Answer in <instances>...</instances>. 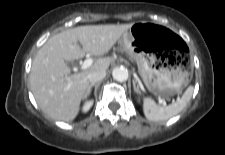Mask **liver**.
Segmentation results:
<instances>
[{
  "label": "liver",
  "mask_w": 225,
  "mask_h": 155,
  "mask_svg": "<svg viewBox=\"0 0 225 155\" xmlns=\"http://www.w3.org/2000/svg\"><path fill=\"white\" fill-rule=\"evenodd\" d=\"M132 25H86L49 38L37 52L30 72V87L39 108L52 119L74 120L86 98L88 74L97 69L107 70L111 60L101 57L89 68L73 75L66 61L83 58L86 54H107Z\"/></svg>",
  "instance_id": "liver-1"
}]
</instances>
